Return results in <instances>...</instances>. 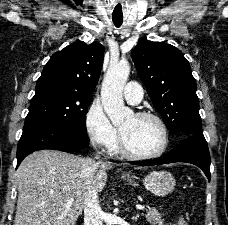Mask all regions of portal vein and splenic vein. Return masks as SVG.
<instances>
[{
  "label": "portal vein and splenic vein",
  "mask_w": 228,
  "mask_h": 225,
  "mask_svg": "<svg viewBox=\"0 0 228 225\" xmlns=\"http://www.w3.org/2000/svg\"><path fill=\"white\" fill-rule=\"evenodd\" d=\"M70 201H73V199H70ZM137 209H145V207H142V205H136Z\"/></svg>",
  "instance_id": "obj_1"
}]
</instances>
